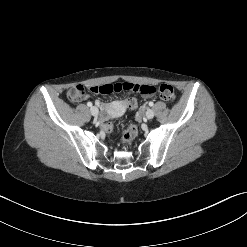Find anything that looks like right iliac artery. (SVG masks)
Returning a JSON list of instances; mask_svg holds the SVG:
<instances>
[{
  "mask_svg": "<svg viewBox=\"0 0 247 247\" xmlns=\"http://www.w3.org/2000/svg\"><path fill=\"white\" fill-rule=\"evenodd\" d=\"M87 106H88V107H92V103H91V102H88V103H87Z\"/></svg>",
  "mask_w": 247,
  "mask_h": 247,
  "instance_id": "82829eb1",
  "label": "right iliac artery"
}]
</instances>
